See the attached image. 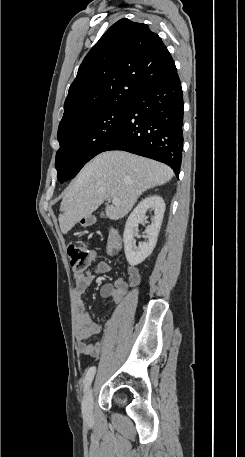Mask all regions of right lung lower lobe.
<instances>
[{
	"label": "right lung lower lobe",
	"instance_id": "right-lung-lower-lobe-1",
	"mask_svg": "<svg viewBox=\"0 0 245 457\" xmlns=\"http://www.w3.org/2000/svg\"><path fill=\"white\" fill-rule=\"evenodd\" d=\"M183 95L177 71L147 83L131 100L125 120L104 151L124 150L169 165L179 176Z\"/></svg>",
	"mask_w": 245,
	"mask_h": 457
}]
</instances>
